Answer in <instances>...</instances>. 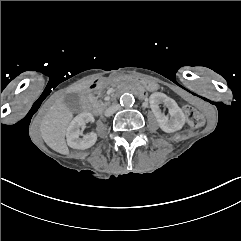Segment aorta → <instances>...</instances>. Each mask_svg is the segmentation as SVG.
Returning a JSON list of instances; mask_svg holds the SVG:
<instances>
[{
  "instance_id": "762f6f07",
  "label": "aorta",
  "mask_w": 241,
  "mask_h": 241,
  "mask_svg": "<svg viewBox=\"0 0 241 241\" xmlns=\"http://www.w3.org/2000/svg\"><path fill=\"white\" fill-rule=\"evenodd\" d=\"M134 96L129 93H125L120 97V104L122 106H132L134 104Z\"/></svg>"
}]
</instances>
